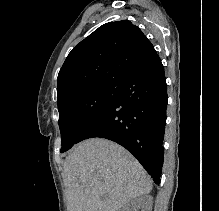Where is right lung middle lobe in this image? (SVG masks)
Returning <instances> with one entry per match:
<instances>
[{
	"mask_svg": "<svg viewBox=\"0 0 219 211\" xmlns=\"http://www.w3.org/2000/svg\"><path fill=\"white\" fill-rule=\"evenodd\" d=\"M117 85H97L58 102L59 127L65 152L77 143L83 130L105 107Z\"/></svg>",
	"mask_w": 219,
	"mask_h": 211,
	"instance_id": "obj_1",
	"label": "right lung middle lobe"
}]
</instances>
